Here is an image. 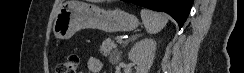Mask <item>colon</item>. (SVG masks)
Segmentation results:
<instances>
[{
    "label": "colon",
    "instance_id": "5ec220e1",
    "mask_svg": "<svg viewBox=\"0 0 244 73\" xmlns=\"http://www.w3.org/2000/svg\"><path fill=\"white\" fill-rule=\"evenodd\" d=\"M78 65V55L70 54L57 64L56 73H76Z\"/></svg>",
    "mask_w": 244,
    "mask_h": 73
}]
</instances>
